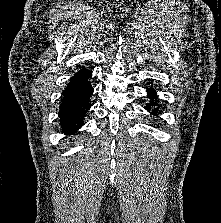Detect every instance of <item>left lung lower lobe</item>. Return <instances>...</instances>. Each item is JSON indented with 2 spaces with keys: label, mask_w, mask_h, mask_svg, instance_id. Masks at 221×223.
<instances>
[{
  "label": "left lung lower lobe",
  "mask_w": 221,
  "mask_h": 223,
  "mask_svg": "<svg viewBox=\"0 0 221 223\" xmlns=\"http://www.w3.org/2000/svg\"><path fill=\"white\" fill-rule=\"evenodd\" d=\"M148 97H151L152 101L154 99H157L156 94H155V91H153V90H149L148 91ZM152 101L147 105V110L148 111L152 110V114L153 115H157L158 109H159V105L156 102H153L152 103ZM151 106H153L154 108L151 109ZM155 106H157V107H155Z\"/></svg>",
  "instance_id": "left-lung-lower-lobe-1"
}]
</instances>
